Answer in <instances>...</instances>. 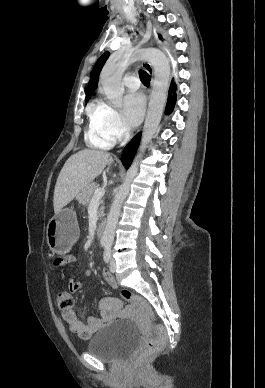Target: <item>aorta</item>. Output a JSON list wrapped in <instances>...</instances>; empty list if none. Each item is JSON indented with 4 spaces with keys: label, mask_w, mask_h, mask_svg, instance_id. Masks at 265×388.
Listing matches in <instances>:
<instances>
[{
    "label": "aorta",
    "mask_w": 265,
    "mask_h": 388,
    "mask_svg": "<svg viewBox=\"0 0 265 388\" xmlns=\"http://www.w3.org/2000/svg\"><path fill=\"white\" fill-rule=\"evenodd\" d=\"M147 60L154 68V80L149 101L147 116L142 133L139 153L126 173L124 183L115 195L111 209L107 216V223L101 237V245L111 247L113 244L116 225L120 210L126 198L130 185L138 172L139 161L147 145L155 135L164 110L166 95L170 81V64L166 55L160 50L149 48L138 52L118 51L112 54L101 72V84L107 98L114 106L122 104L124 86L122 74L130 62L135 60Z\"/></svg>",
    "instance_id": "obj_1"
}]
</instances>
